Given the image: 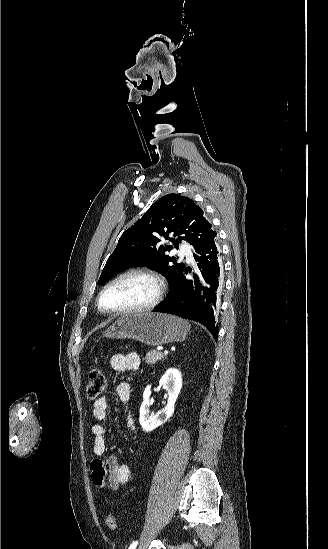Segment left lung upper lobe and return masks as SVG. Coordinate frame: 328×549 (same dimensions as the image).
Wrapping results in <instances>:
<instances>
[{"mask_svg":"<svg viewBox=\"0 0 328 549\" xmlns=\"http://www.w3.org/2000/svg\"><path fill=\"white\" fill-rule=\"evenodd\" d=\"M162 237L173 242L175 248L185 240L196 251L214 239L216 232L193 200L174 193L165 195L121 235L98 283H105L130 267L146 266L166 277L171 290L185 267L177 258L166 255L173 246L161 244Z\"/></svg>","mask_w":328,"mask_h":549,"instance_id":"5c2ea615","label":"left lung upper lobe"}]
</instances>
